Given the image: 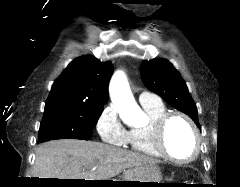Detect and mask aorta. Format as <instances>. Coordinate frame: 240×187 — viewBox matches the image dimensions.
<instances>
[{"instance_id":"762f6f07","label":"aorta","mask_w":240,"mask_h":187,"mask_svg":"<svg viewBox=\"0 0 240 187\" xmlns=\"http://www.w3.org/2000/svg\"><path fill=\"white\" fill-rule=\"evenodd\" d=\"M109 94L120 117L125 121L136 123L143 119L144 114L136 104L127 78L122 71L114 73L109 85Z\"/></svg>"}]
</instances>
